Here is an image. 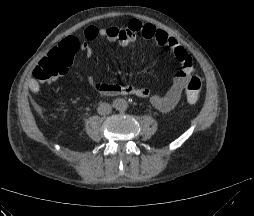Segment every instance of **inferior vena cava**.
<instances>
[{
  "mask_svg": "<svg viewBox=\"0 0 254 216\" xmlns=\"http://www.w3.org/2000/svg\"><path fill=\"white\" fill-rule=\"evenodd\" d=\"M112 111V106L108 103H101L97 108V112L100 115H108Z\"/></svg>",
  "mask_w": 254,
  "mask_h": 216,
  "instance_id": "inferior-vena-cava-1",
  "label": "inferior vena cava"
}]
</instances>
